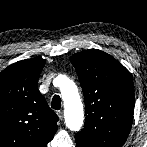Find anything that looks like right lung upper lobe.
<instances>
[{
	"instance_id": "cb5924a9",
	"label": "right lung upper lobe",
	"mask_w": 147,
	"mask_h": 147,
	"mask_svg": "<svg viewBox=\"0 0 147 147\" xmlns=\"http://www.w3.org/2000/svg\"><path fill=\"white\" fill-rule=\"evenodd\" d=\"M45 60L34 58L0 73V147H47L58 117L39 92Z\"/></svg>"
}]
</instances>
